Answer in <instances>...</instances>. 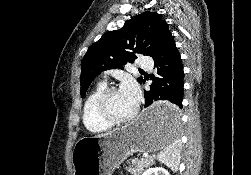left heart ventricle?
<instances>
[{
    "instance_id": "1",
    "label": "left heart ventricle",
    "mask_w": 251,
    "mask_h": 175,
    "mask_svg": "<svg viewBox=\"0 0 251 175\" xmlns=\"http://www.w3.org/2000/svg\"><path fill=\"white\" fill-rule=\"evenodd\" d=\"M109 111L118 117L127 116L133 112V110L124 102L119 90L112 92L108 99Z\"/></svg>"
}]
</instances>
